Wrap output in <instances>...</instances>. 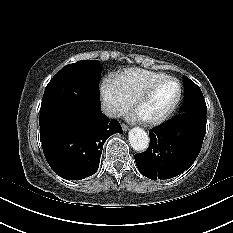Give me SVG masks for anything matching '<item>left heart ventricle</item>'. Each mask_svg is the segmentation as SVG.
I'll return each mask as SVG.
<instances>
[{"label":"left heart ventricle","mask_w":233,"mask_h":233,"mask_svg":"<svg viewBox=\"0 0 233 233\" xmlns=\"http://www.w3.org/2000/svg\"><path fill=\"white\" fill-rule=\"evenodd\" d=\"M176 93L177 88L174 82H160L139 103L136 113L143 119L156 118L168 109L174 101Z\"/></svg>","instance_id":"left-heart-ventricle-1"}]
</instances>
